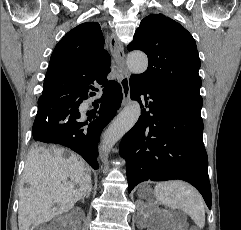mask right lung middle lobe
Masks as SVG:
<instances>
[{"mask_svg":"<svg viewBox=\"0 0 241 230\" xmlns=\"http://www.w3.org/2000/svg\"><path fill=\"white\" fill-rule=\"evenodd\" d=\"M64 102H72V103H74L75 102V100H69V101H64ZM64 102H61V103H57V104H53V103H51V105L52 106H55V105H58V104H62V103H64ZM64 119H57V120H54L53 122H51L52 124H57V123H59V122H61V121H63Z\"/></svg>","mask_w":241,"mask_h":230,"instance_id":"right-lung-middle-lobe-1","label":"right lung middle lobe"}]
</instances>
